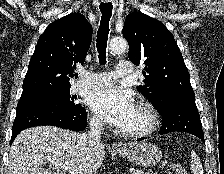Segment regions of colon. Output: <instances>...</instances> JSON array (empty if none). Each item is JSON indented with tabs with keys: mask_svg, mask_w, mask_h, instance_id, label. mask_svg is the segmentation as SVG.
<instances>
[{
	"mask_svg": "<svg viewBox=\"0 0 224 174\" xmlns=\"http://www.w3.org/2000/svg\"><path fill=\"white\" fill-rule=\"evenodd\" d=\"M168 174H187V172L181 164L173 162L168 166Z\"/></svg>",
	"mask_w": 224,
	"mask_h": 174,
	"instance_id": "obj_1",
	"label": "colon"
}]
</instances>
